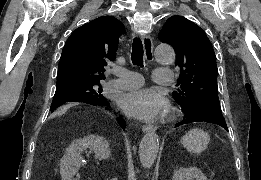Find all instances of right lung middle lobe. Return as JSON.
<instances>
[{
  "label": "right lung middle lobe",
  "mask_w": 261,
  "mask_h": 180,
  "mask_svg": "<svg viewBox=\"0 0 261 180\" xmlns=\"http://www.w3.org/2000/svg\"><path fill=\"white\" fill-rule=\"evenodd\" d=\"M99 80H69L57 83L56 92L51 104L54 111L58 106L69 101L97 102L105 100L101 94Z\"/></svg>",
  "instance_id": "dd1d6c3e"
}]
</instances>
